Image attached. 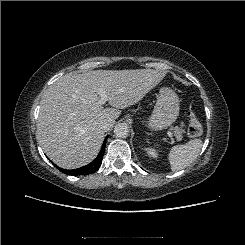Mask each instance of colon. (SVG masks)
I'll return each instance as SVG.
<instances>
[{
  "instance_id": "colon-1",
  "label": "colon",
  "mask_w": 245,
  "mask_h": 245,
  "mask_svg": "<svg viewBox=\"0 0 245 245\" xmlns=\"http://www.w3.org/2000/svg\"><path fill=\"white\" fill-rule=\"evenodd\" d=\"M189 125L187 134L190 138H195L202 133V125L193 111L188 113Z\"/></svg>"
}]
</instances>
